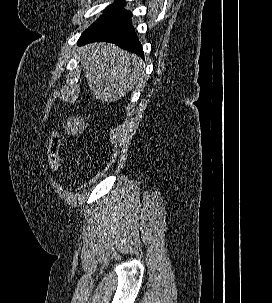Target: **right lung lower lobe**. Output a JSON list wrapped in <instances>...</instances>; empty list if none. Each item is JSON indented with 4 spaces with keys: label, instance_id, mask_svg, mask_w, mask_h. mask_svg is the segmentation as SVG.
<instances>
[{
    "label": "right lung lower lobe",
    "instance_id": "right-lung-lower-lobe-1",
    "mask_svg": "<svg viewBox=\"0 0 272 303\" xmlns=\"http://www.w3.org/2000/svg\"><path fill=\"white\" fill-rule=\"evenodd\" d=\"M130 18L131 16L93 31L83 33L79 39V43L83 45L92 42H110L125 50L143 56L142 46L131 25Z\"/></svg>",
    "mask_w": 272,
    "mask_h": 303
}]
</instances>
